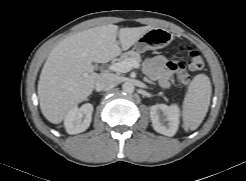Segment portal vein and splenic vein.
Segmentation results:
<instances>
[{
  "instance_id": "portal-vein-and-splenic-vein-1",
  "label": "portal vein and splenic vein",
  "mask_w": 246,
  "mask_h": 181,
  "mask_svg": "<svg viewBox=\"0 0 246 181\" xmlns=\"http://www.w3.org/2000/svg\"><path fill=\"white\" fill-rule=\"evenodd\" d=\"M139 64L134 59H128L121 62L114 63L109 67V70L118 73H127L133 68H138Z\"/></svg>"
}]
</instances>
